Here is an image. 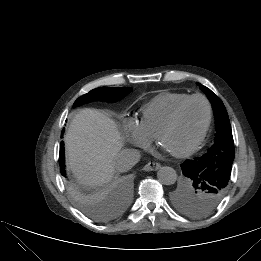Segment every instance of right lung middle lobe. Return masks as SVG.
I'll return each mask as SVG.
<instances>
[{
    "label": "right lung middle lobe",
    "instance_id": "dd1d6c3e",
    "mask_svg": "<svg viewBox=\"0 0 261 261\" xmlns=\"http://www.w3.org/2000/svg\"><path fill=\"white\" fill-rule=\"evenodd\" d=\"M132 91V88H110V87H100L91 90L87 94L81 96L78 98L74 106H78L83 103L95 101V100H102L107 102H116L120 99H122L124 96L129 94ZM61 173L65 176L64 167H61ZM69 191L77 203V205L80 207V209L85 212L87 215L101 219L103 216L98 212V210L93 207L90 202L89 198H87L78 188H76L73 185H69Z\"/></svg>",
    "mask_w": 261,
    "mask_h": 261
}]
</instances>
